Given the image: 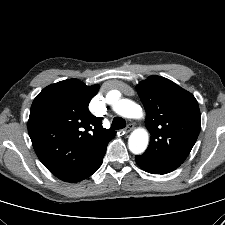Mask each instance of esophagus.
<instances>
[{
	"mask_svg": "<svg viewBox=\"0 0 225 225\" xmlns=\"http://www.w3.org/2000/svg\"><path fill=\"white\" fill-rule=\"evenodd\" d=\"M134 129V125L133 124H128L127 127L125 128V132L129 133Z\"/></svg>",
	"mask_w": 225,
	"mask_h": 225,
	"instance_id": "esophagus-1",
	"label": "esophagus"
}]
</instances>
